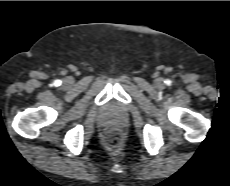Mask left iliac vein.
Wrapping results in <instances>:
<instances>
[{"mask_svg":"<svg viewBox=\"0 0 230 186\" xmlns=\"http://www.w3.org/2000/svg\"><path fill=\"white\" fill-rule=\"evenodd\" d=\"M155 86L157 88H163L164 87V81L162 78H157L154 82Z\"/></svg>","mask_w":230,"mask_h":186,"instance_id":"4c4485c4","label":"left iliac vein"}]
</instances>
